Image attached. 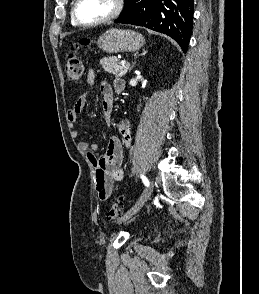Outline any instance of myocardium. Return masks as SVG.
<instances>
[{
	"label": "myocardium",
	"instance_id": "myocardium-1",
	"mask_svg": "<svg viewBox=\"0 0 259 294\" xmlns=\"http://www.w3.org/2000/svg\"><path fill=\"white\" fill-rule=\"evenodd\" d=\"M80 1L81 0H75L74 4L72 6V9H71V18H72L73 23H75L76 25H78L80 27H84V28L96 27V26L108 23V22L116 19L117 17H119L124 9V0H114V8L110 14H108L104 18L97 20L95 22L86 23V22H82L78 17L77 8H78Z\"/></svg>",
	"mask_w": 259,
	"mask_h": 294
}]
</instances>
